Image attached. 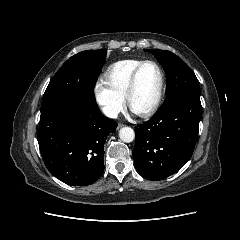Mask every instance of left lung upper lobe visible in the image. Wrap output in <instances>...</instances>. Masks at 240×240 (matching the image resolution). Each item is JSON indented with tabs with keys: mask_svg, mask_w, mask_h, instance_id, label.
Returning a JSON list of instances; mask_svg holds the SVG:
<instances>
[{
	"mask_svg": "<svg viewBox=\"0 0 240 240\" xmlns=\"http://www.w3.org/2000/svg\"><path fill=\"white\" fill-rule=\"evenodd\" d=\"M155 55L166 72V100L182 93L200 94V84L194 72L170 51L145 50Z\"/></svg>",
	"mask_w": 240,
	"mask_h": 240,
	"instance_id": "1",
	"label": "left lung upper lobe"
}]
</instances>
